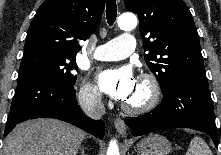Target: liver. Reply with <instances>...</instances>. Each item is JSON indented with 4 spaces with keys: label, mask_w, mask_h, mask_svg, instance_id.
Segmentation results:
<instances>
[{
    "label": "liver",
    "mask_w": 221,
    "mask_h": 155,
    "mask_svg": "<svg viewBox=\"0 0 221 155\" xmlns=\"http://www.w3.org/2000/svg\"><path fill=\"white\" fill-rule=\"evenodd\" d=\"M84 138V131L59 120H29L6 137L3 155H77Z\"/></svg>",
    "instance_id": "obj_1"
}]
</instances>
